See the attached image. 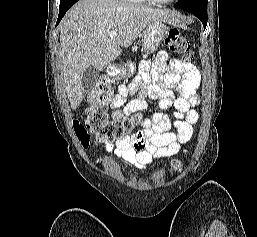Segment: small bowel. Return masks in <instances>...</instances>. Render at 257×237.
Returning <instances> with one entry per match:
<instances>
[{"label": "small bowel", "instance_id": "c3829d8e", "mask_svg": "<svg viewBox=\"0 0 257 237\" xmlns=\"http://www.w3.org/2000/svg\"><path fill=\"white\" fill-rule=\"evenodd\" d=\"M166 71L163 78L162 73ZM200 74L197 68L178 59H169L166 51L157 54L153 63L144 60L138 74L128 85H121L111 102L115 120L124 118L147 108L146 96L159 98L160 110L173 109L174 121L162 112H156L150 119L140 121L142 128L134 135L106 144L101 155L111 154L122 158L137 169H145L154 159L172 156L187 143L193 135V125L198 120L194 107L199 103L197 88ZM175 89L178 96L170 90ZM129 95L135 97L127 104ZM122 106H124L122 108Z\"/></svg>", "mask_w": 257, "mask_h": 237}]
</instances>
